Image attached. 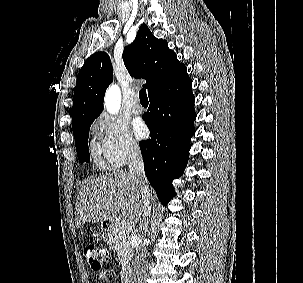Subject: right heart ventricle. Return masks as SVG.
Segmentation results:
<instances>
[{"label": "right heart ventricle", "instance_id": "e07e8e85", "mask_svg": "<svg viewBox=\"0 0 303 283\" xmlns=\"http://www.w3.org/2000/svg\"><path fill=\"white\" fill-rule=\"evenodd\" d=\"M91 151H92V156H93L95 165L98 168L104 169V168L108 167L109 163L103 159L100 151L96 147L93 146Z\"/></svg>", "mask_w": 303, "mask_h": 283}]
</instances>
